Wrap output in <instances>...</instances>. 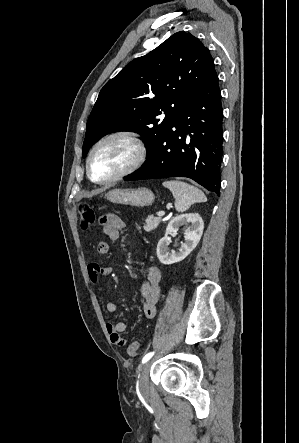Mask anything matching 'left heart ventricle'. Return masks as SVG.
Returning <instances> with one entry per match:
<instances>
[{"label":"left heart ventricle","mask_w":299,"mask_h":443,"mask_svg":"<svg viewBox=\"0 0 299 443\" xmlns=\"http://www.w3.org/2000/svg\"><path fill=\"white\" fill-rule=\"evenodd\" d=\"M134 156L132 146L123 140L113 139L104 143L95 153L91 173L95 179L110 177L129 164Z\"/></svg>","instance_id":"left-heart-ventricle-1"}]
</instances>
